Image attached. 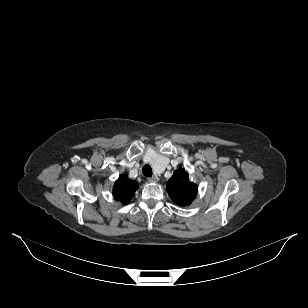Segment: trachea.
<instances>
[{
    "label": "trachea",
    "mask_w": 308,
    "mask_h": 308,
    "mask_svg": "<svg viewBox=\"0 0 308 308\" xmlns=\"http://www.w3.org/2000/svg\"><path fill=\"white\" fill-rule=\"evenodd\" d=\"M142 173L146 177H151L152 176V168L150 165L146 164L142 168Z\"/></svg>",
    "instance_id": "1"
}]
</instances>
